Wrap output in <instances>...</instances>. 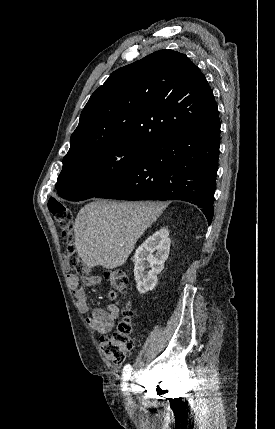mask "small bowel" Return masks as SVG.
I'll use <instances>...</instances> for the list:
<instances>
[{
    "label": "small bowel",
    "mask_w": 275,
    "mask_h": 429,
    "mask_svg": "<svg viewBox=\"0 0 275 429\" xmlns=\"http://www.w3.org/2000/svg\"><path fill=\"white\" fill-rule=\"evenodd\" d=\"M67 280L73 291L79 310L82 313H91L86 319L88 326L93 331L100 334L108 333L119 315V299L117 292L113 290L108 291V298L112 303L109 304L106 309L91 308L87 301L85 287L99 284L101 278L99 276H86L80 279L77 275L69 273L67 275Z\"/></svg>",
    "instance_id": "obj_1"
}]
</instances>
